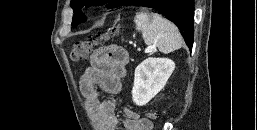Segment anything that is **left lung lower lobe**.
Wrapping results in <instances>:
<instances>
[{"mask_svg": "<svg viewBox=\"0 0 257 130\" xmlns=\"http://www.w3.org/2000/svg\"><path fill=\"white\" fill-rule=\"evenodd\" d=\"M137 5L155 9L180 30L189 49L194 38V0H137Z\"/></svg>", "mask_w": 257, "mask_h": 130, "instance_id": "obj_1", "label": "left lung lower lobe"}]
</instances>
